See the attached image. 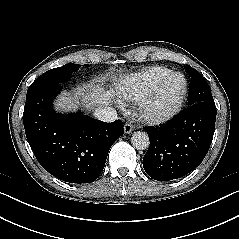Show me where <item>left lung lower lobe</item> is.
<instances>
[{"label":"left lung lower lobe","instance_id":"left-lung-lower-lobe-1","mask_svg":"<svg viewBox=\"0 0 239 239\" xmlns=\"http://www.w3.org/2000/svg\"><path fill=\"white\" fill-rule=\"evenodd\" d=\"M216 119L214 101L190 105L170 123L146 128L150 146L143 158L146 173L157 181L181 178L203 161Z\"/></svg>","mask_w":239,"mask_h":239}]
</instances>
